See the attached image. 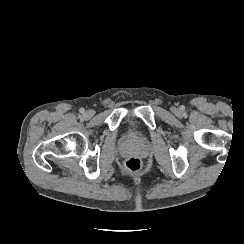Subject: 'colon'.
Instances as JSON below:
<instances>
[{
	"mask_svg": "<svg viewBox=\"0 0 244 244\" xmlns=\"http://www.w3.org/2000/svg\"><path fill=\"white\" fill-rule=\"evenodd\" d=\"M124 168L128 171H137L141 168L142 161L138 157H129L123 162Z\"/></svg>",
	"mask_w": 244,
	"mask_h": 244,
	"instance_id": "obj_1",
	"label": "colon"
}]
</instances>
